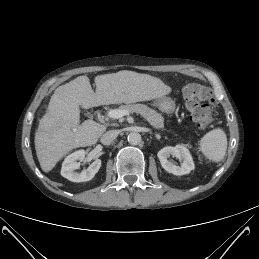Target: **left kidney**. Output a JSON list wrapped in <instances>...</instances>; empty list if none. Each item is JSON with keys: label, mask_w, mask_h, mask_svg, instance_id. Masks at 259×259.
I'll return each mask as SVG.
<instances>
[{"label": "left kidney", "mask_w": 259, "mask_h": 259, "mask_svg": "<svg viewBox=\"0 0 259 259\" xmlns=\"http://www.w3.org/2000/svg\"><path fill=\"white\" fill-rule=\"evenodd\" d=\"M161 166L169 173L174 175H184L190 173L194 169V162L189 150L183 145H176L175 147L167 146L161 149L157 154ZM170 156L181 160L180 166L172 163Z\"/></svg>", "instance_id": "1"}]
</instances>
